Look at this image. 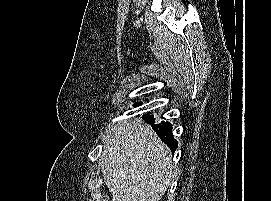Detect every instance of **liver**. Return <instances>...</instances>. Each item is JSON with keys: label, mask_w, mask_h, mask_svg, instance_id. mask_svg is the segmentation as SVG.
Segmentation results:
<instances>
[{"label": "liver", "mask_w": 271, "mask_h": 201, "mask_svg": "<svg viewBox=\"0 0 271 201\" xmlns=\"http://www.w3.org/2000/svg\"><path fill=\"white\" fill-rule=\"evenodd\" d=\"M100 166L111 201H160L172 182L169 149L138 119L107 131Z\"/></svg>", "instance_id": "1"}]
</instances>
